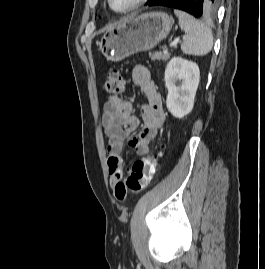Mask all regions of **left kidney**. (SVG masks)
Listing matches in <instances>:
<instances>
[{"instance_id":"left-kidney-1","label":"left kidney","mask_w":265,"mask_h":269,"mask_svg":"<svg viewBox=\"0 0 265 269\" xmlns=\"http://www.w3.org/2000/svg\"><path fill=\"white\" fill-rule=\"evenodd\" d=\"M164 78L168 89L167 108L174 117L183 118L193 109L200 80L199 67L192 61L174 57L166 66Z\"/></svg>"}]
</instances>
